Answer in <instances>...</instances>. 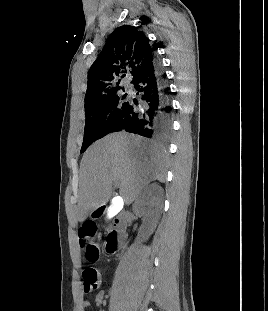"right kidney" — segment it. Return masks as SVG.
<instances>
[{
    "instance_id": "1",
    "label": "right kidney",
    "mask_w": 268,
    "mask_h": 311,
    "mask_svg": "<svg viewBox=\"0 0 268 311\" xmlns=\"http://www.w3.org/2000/svg\"><path fill=\"white\" fill-rule=\"evenodd\" d=\"M163 189L156 183L143 188L133 205L136 215L143 216L139 237L148 239L154 232L163 210Z\"/></svg>"
}]
</instances>
